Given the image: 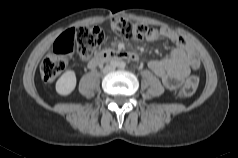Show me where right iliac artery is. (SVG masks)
<instances>
[{"mask_svg":"<svg viewBox=\"0 0 238 158\" xmlns=\"http://www.w3.org/2000/svg\"><path fill=\"white\" fill-rule=\"evenodd\" d=\"M111 65L113 67H117V66H119V63L117 61H113V62H111Z\"/></svg>","mask_w":238,"mask_h":158,"instance_id":"obj_1","label":"right iliac artery"}]
</instances>
